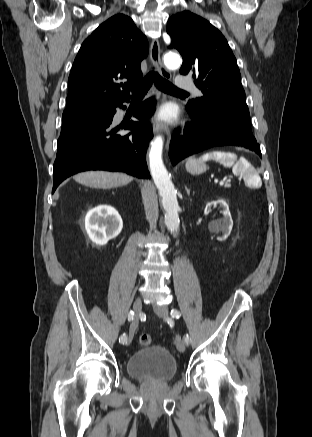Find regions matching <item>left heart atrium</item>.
I'll return each mask as SVG.
<instances>
[{
	"instance_id": "obj_1",
	"label": "left heart atrium",
	"mask_w": 312,
	"mask_h": 437,
	"mask_svg": "<svg viewBox=\"0 0 312 437\" xmlns=\"http://www.w3.org/2000/svg\"><path fill=\"white\" fill-rule=\"evenodd\" d=\"M158 117H159L160 119H163V120H166V121H172V120L175 119L176 114H175V111H174V109H173L172 107H170V106H164V107L160 110V112H159V114H158Z\"/></svg>"
}]
</instances>
